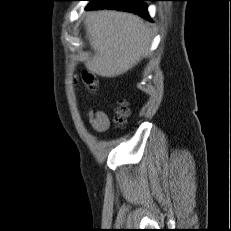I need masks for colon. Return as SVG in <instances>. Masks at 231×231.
Returning a JSON list of instances; mask_svg holds the SVG:
<instances>
[{
	"mask_svg": "<svg viewBox=\"0 0 231 231\" xmlns=\"http://www.w3.org/2000/svg\"><path fill=\"white\" fill-rule=\"evenodd\" d=\"M80 81L89 90L94 91L96 89V79L93 74L89 72H83L80 76ZM128 115V107L125 104H121L117 109V123L122 125L125 122L126 116Z\"/></svg>",
	"mask_w": 231,
	"mask_h": 231,
	"instance_id": "1",
	"label": "colon"
}]
</instances>
